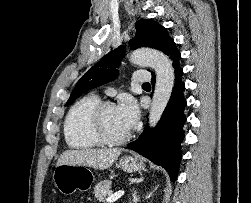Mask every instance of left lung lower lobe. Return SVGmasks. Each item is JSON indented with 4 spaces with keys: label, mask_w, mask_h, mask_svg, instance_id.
I'll return each instance as SVG.
<instances>
[{
    "label": "left lung lower lobe",
    "mask_w": 251,
    "mask_h": 203,
    "mask_svg": "<svg viewBox=\"0 0 251 203\" xmlns=\"http://www.w3.org/2000/svg\"><path fill=\"white\" fill-rule=\"evenodd\" d=\"M166 55L172 60L175 73V83L167 107L155 128L148 125L137 140L127 145L139 154L145 156L153 163L161 165L169 173L172 181L177 178L180 165V145L185 137L183 126L186 122L184 109L186 99L183 92L185 84L182 81L183 69L179 65L181 55L174 41L170 43ZM152 85H155V75L152 72Z\"/></svg>",
    "instance_id": "1"
}]
</instances>
